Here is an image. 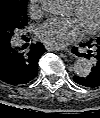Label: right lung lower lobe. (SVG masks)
Returning <instances> with one entry per match:
<instances>
[{
	"mask_svg": "<svg viewBox=\"0 0 100 118\" xmlns=\"http://www.w3.org/2000/svg\"><path fill=\"white\" fill-rule=\"evenodd\" d=\"M45 49L41 43L22 51L11 43L0 44V80L17 86L33 80L38 73V61Z\"/></svg>",
	"mask_w": 100,
	"mask_h": 118,
	"instance_id": "obj_1",
	"label": "right lung lower lobe"
}]
</instances>
